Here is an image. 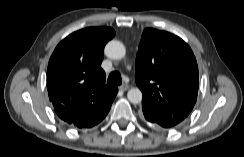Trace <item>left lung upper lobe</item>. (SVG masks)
I'll list each match as a JSON object with an SVG mask.
<instances>
[{
  "instance_id": "5c2ea615",
  "label": "left lung upper lobe",
  "mask_w": 244,
  "mask_h": 157,
  "mask_svg": "<svg viewBox=\"0 0 244 157\" xmlns=\"http://www.w3.org/2000/svg\"><path fill=\"white\" fill-rule=\"evenodd\" d=\"M136 84L142 110L163 128L184 120L197 100L199 73L186 42L171 33L146 28L136 57Z\"/></svg>"
}]
</instances>
